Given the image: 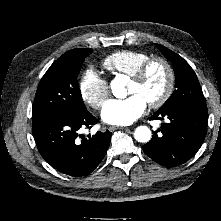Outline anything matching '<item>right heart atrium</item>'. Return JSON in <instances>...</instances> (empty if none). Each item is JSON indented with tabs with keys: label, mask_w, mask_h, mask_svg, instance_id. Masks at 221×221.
<instances>
[{
	"label": "right heart atrium",
	"mask_w": 221,
	"mask_h": 221,
	"mask_svg": "<svg viewBox=\"0 0 221 221\" xmlns=\"http://www.w3.org/2000/svg\"><path fill=\"white\" fill-rule=\"evenodd\" d=\"M82 99L92 108L99 109L109 96V85L94 69L84 71L79 81Z\"/></svg>",
	"instance_id": "1"
}]
</instances>
